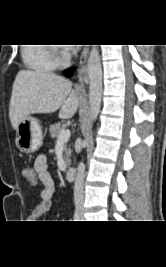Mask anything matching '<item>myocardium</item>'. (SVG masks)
I'll return each instance as SVG.
<instances>
[{"instance_id": "myocardium-1", "label": "myocardium", "mask_w": 166, "mask_h": 267, "mask_svg": "<svg viewBox=\"0 0 166 267\" xmlns=\"http://www.w3.org/2000/svg\"><path fill=\"white\" fill-rule=\"evenodd\" d=\"M50 51L57 64H65L68 62L69 57L64 53L60 46H50Z\"/></svg>"}]
</instances>
